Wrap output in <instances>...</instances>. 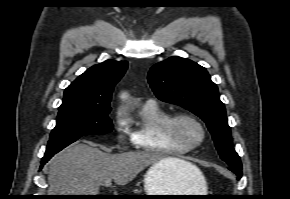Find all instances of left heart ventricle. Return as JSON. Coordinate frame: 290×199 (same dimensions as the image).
<instances>
[{
    "mask_svg": "<svg viewBox=\"0 0 290 199\" xmlns=\"http://www.w3.org/2000/svg\"><path fill=\"white\" fill-rule=\"evenodd\" d=\"M178 130L184 138L192 142L199 140L201 137L200 129L190 122H182L179 124Z\"/></svg>",
    "mask_w": 290,
    "mask_h": 199,
    "instance_id": "left-heart-ventricle-1",
    "label": "left heart ventricle"
}]
</instances>
